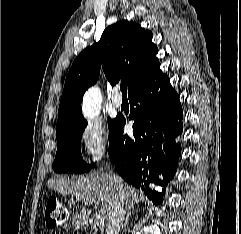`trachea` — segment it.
Wrapping results in <instances>:
<instances>
[{
    "label": "trachea",
    "mask_w": 241,
    "mask_h": 234,
    "mask_svg": "<svg viewBox=\"0 0 241 234\" xmlns=\"http://www.w3.org/2000/svg\"><path fill=\"white\" fill-rule=\"evenodd\" d=\"M120 90L123 96H127V85L125 83L120 85Z\"/></svg>",
    "instance_id": "3493384b"
}]
</instances>
